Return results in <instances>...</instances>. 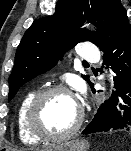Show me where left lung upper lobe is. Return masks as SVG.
Segmentation results:
<instances>
[{"label":"left lung upper lobe","mask_w":131,"mask_h":151,"mask_svg":"<svg viewBox=\"0 0 131 151\" xmlns=\"http://www.w3.org/2000/svg\"><path fill=\"white\" fill-rule=\"evenodd\" d=\"M86 20L98 30L79 28ZM130 33L131 25L120 0H59L53 15L38 19L25 32L9 77L8 101L22 85L51 69L77 43L91 41L105 51ZM82 78L90 83L89 75Z\"/></svg>","instance_id":"5c2ea615"}]
</instances>
